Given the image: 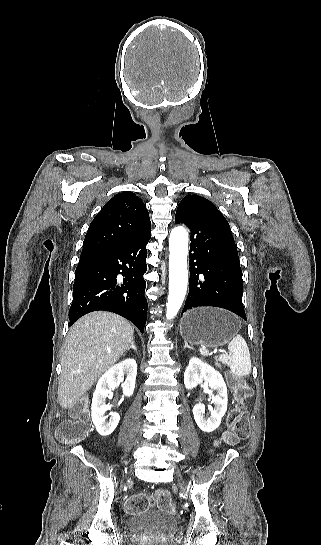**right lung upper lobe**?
Returning a JSON list of instances; mask_svg holds the SVG:
<instances>
[{
  "label": "right lung upper lobe",
  "mask_w": 321,
  "mask_h": 545,
  "mask_svg": "<svg viewBox=\"0 0 321 545\" xmlns=\"http://www.w3.org/2000/svg\"><path fill=\"white\" fill-rule=\"evenodd\" d=\"M151 223L145 204L133 192L111 198L91 222L81 257L119 248L149 233Z\"/></svg>",
  "instance_id": "cb5924a9"
}]
</instances>
